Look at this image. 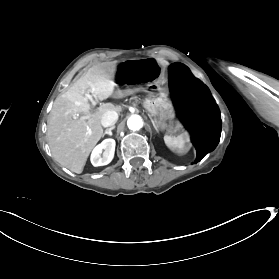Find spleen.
<instances>
[{
	"mask_svg": "<svg viewBox=\"0 0 279 279\" xmlns=\"http://www.w3.org/2000/svg\"><path fill=\"white\" fill-rule=\"evenodd\" d=\"M165 144L174 151L183 152L187 149V139L185 133H181L178 136L165 135Z\"/></svg>",
	"mask_w": 279,
	"mask_h": 279,
	"instance_id": "1",
	"label": "spleen"
}]
</instances>
